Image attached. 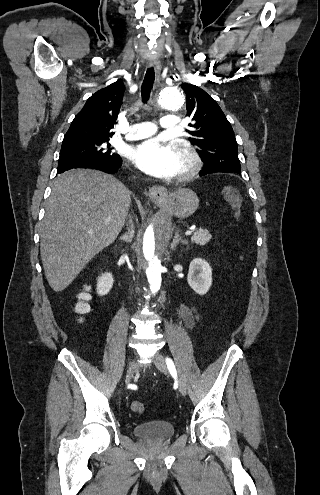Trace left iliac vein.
Instances as JSON below:
<instances>
[{
    "mask_svg": "<svg viewBox=\"0 0 320 495\" xmlns=\"http://www.w3.org/2000/svg\"><path fill=\"white\" fill-rule=\"evenodd\" d=\"M154 358H155V365H156L157 369L159 371L167 374L168 373V367L166 365L164 357L160 353L157 352ZM177 384H178L179 392L183 396H185L187 394V388H186L185 383L182 380L177 379Z\"/></svg>",
    "mask_w": 320,
    "mask_h": 495,
    "instance_id": "left-iliac-vein-1",
    "label": "left iliac vein"
}]
</instances>
